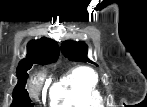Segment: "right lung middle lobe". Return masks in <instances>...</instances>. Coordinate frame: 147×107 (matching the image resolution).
Here are the masks:
<instances>
[{"label": "right lung middle lobe", "instance_id": "obj_1", "mask_svg": "<svg viewBox=\"0 0 147 107\" xmlns=\"http://www.w3.org/2000/svg\"><path fill=\"white\" fill-rule=\"evenodd\" d=\"M31 67L32 65L26 66L17 74L18 84L13 91V102L11 107H32L28 92L25 89L26 80L28 78L26 71Z\"/></svg>", "mask_w": 147, "mask_h": 107}]
</instances>
